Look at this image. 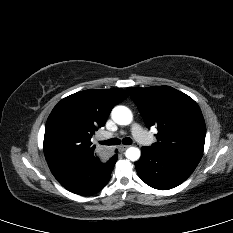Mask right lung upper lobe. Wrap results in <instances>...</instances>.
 I'll return each mask as SVG.
<instances>
[{
    "instance_id": "obj_1",
    "label": "right lung upper lobe",
    "mask_w": 233,
    "mask_h": 233,
    "mask_svg": "<svg viewBox=\"0 0 233 233\" xmlns=\"http://www.w3.org/2000/svg\"><path fill=\"white\" fill-rule=\"evenodd\" d=\"M127 97L128 93L123 89H89L60 100L45 126L47 162L96 155L92 135L105 125L112 108Z\"/></svg>"
}]
</instances>
